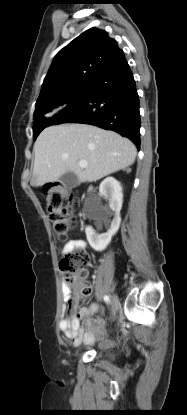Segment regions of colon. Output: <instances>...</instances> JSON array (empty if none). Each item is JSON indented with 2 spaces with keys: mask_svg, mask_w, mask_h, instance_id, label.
<instances>
[{
  "mask_svg": "<svg viewBox=\"0 0 187 415\" xmlns=\"http://www.w3.org/2000/svg\"><path fill=\"white\" fill-rule=\"evenodd\" d=\"M47 210L60 240H66L68 232L78 225V217L74 209L71 189L59 182H51L45 186ZM89 264V257L82 249L69 252L60 261V268L67 273L72 294L88 296L91 285L84 280V269Z\"/></svg>",
  "mask_w": 187,
  "mask_h": 415,
  "instance_id": "5ec220e1",
  "label": "colon"
}]
</instances>
